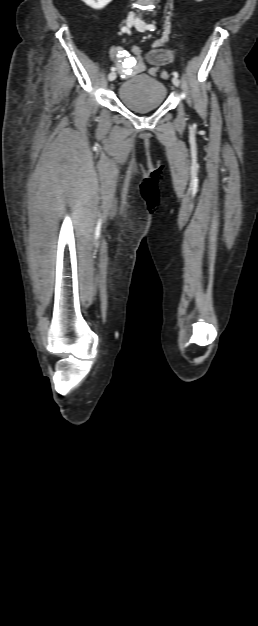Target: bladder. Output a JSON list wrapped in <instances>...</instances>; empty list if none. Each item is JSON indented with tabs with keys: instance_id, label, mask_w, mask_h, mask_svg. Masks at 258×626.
<instances>
[{
	"instance_id": "bladder-1",
	"label": "bladder",
	"mask_w": 258,
	"mask_h": 626,
	"mask_svg": "<svg viewBox=\"0 0 258 626\" xmlns=\"http://www.w3.org/2000/svg\"><path fill=\"white\" fill-rule=\"evenodd\" d=\"M121 103L131 111L145 113L161 107L167 97L165 85L149 75H138L123 81L118 89Z\"/></svg>"
}]
</instances>
